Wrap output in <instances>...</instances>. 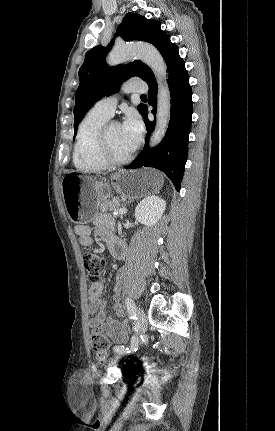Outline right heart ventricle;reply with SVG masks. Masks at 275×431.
Returning <instances> with one entry per match:
<instances>
[{"mask_svg": "<svg viewBox=\"0 0 275 431\" xmlns=\"http://www.w3.org/2000/svg\"><path fill=\"white\" fill-rule=\"evenodd\" d=\"M109 118L93 108L81 120L73 151V162L79 171L97 173L108 167L98 154V137Z\"/></svg>", "mask_w": 275, "mask_h": 431, "instance_id": "right-heart-ventricle-1", "label": "right heart ventricle"}]
</instances>
